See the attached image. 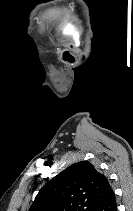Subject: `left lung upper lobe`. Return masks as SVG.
<instances>
[{"mask_svg": "<svg viewBox=\"0 0 133 211\" xmlns=\"http://www.w3.org/2000/svg\"><path fill=\"white\" fill-rule=\"evenodd\" d=\"M111 191L108 179L81 161L45 184L29 211H92Z\"/></svg>", "mask_w": 133, "mask_h": 211, "instance_id": "left-lung-upper-lobe-1", "label": "left lung upper lobe"}]
</instances>
